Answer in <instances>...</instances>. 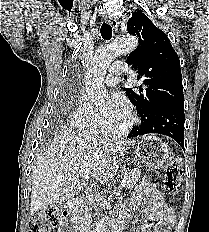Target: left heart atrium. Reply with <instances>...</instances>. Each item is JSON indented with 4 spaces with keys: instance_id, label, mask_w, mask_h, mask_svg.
<instances>
[{
    "instance_id": "obj_1",
    "label": "left heart atrium",
    "mask_w": 209,
    "mask_h": 232,
    "mask_svg": "<svg viewBox=\"0 0 209 232\" xmlns=\"http://www.w3.org/2000/svg\"><path fill=\"white\" fill-rule=\"evenodd\" d=\"M110 116L108 123L117 122L128 116L130 105L127 99L120 93H112L109 98Z\"/></svg>"
}]
</instances>
